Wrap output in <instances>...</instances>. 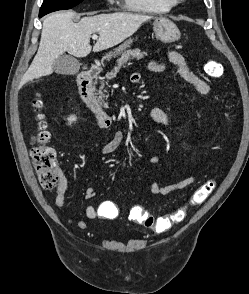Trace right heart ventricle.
Instances as JSON below:
<instances>
[{"mask_svg":"<svg viewBox=\"0 0 249 294\" xmlns=\"http://www.w3.org/2000/svg\"><path fill=\"white\" fill-rule=\"evenodd\" d=\"M123 2L128 10L138 13H166L174 6L170 0H123Z\"/></svg>","mask_w":249,"mask_h":294,"instance_id":"obj_1","label":"right heart ventricle"}]
</instances>
